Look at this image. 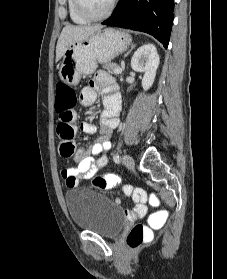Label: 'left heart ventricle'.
Here are the masks:
<instances>
[{"instance_id": "1", "label": "left heart ventricle", "mask_w": 227, "mask_h": 279, "mask_svg": "<svg viewBox=\"0 0 227 279\" xmlns=\"http://www.w3.org/2000/svg\"><path fill=\"white\" fill-rule=\"evenodd\" d=\"M111 0H81V3L85 10L91 15H100L104 13Z\"/></svg>"}]
</instances>
